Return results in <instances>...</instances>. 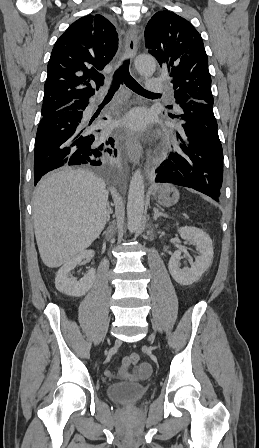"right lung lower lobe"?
I'll list each match as a JSON object with an SVG mask.
<instances>
[{
	"label": "right lung lower lobe",
	"instance_id": "1",
	"mask_svg": "<svg viewBox=\"0 0 259 448\" xmlns=\"http://www.w3.org/2000/svg\"><path fill=\"white\" fill-rule=\"evenodd\" d=\"M88 104L86 101L42 115L35 138V185L44 174L63 165L100 166L116 155L114 139L103 134L97 124L88 126Z\"/></svg>",
	"mask_w": 259,
	"mask_h": 448
}]
</instances>
